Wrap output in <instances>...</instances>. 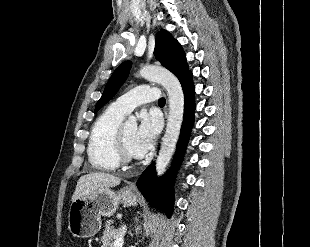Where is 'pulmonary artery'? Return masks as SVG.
I'll list each match as a JSON object with an SVG mask.
<instances>
[{
	"label": "pulmonary artery",
	"instance_id": "pulmonary-artery-1",
	"mask_svg": "<svg viewBox=\"0 0 310 247\" xmlns=\"http://www.w3.org/2000/svg\"><path fill=\"white\" fill-rule=\"evenodd\" d=\"M160 98L158 88L140 85L116 99L112 105L123 114L130 113L135 107Z\"/></svg>",
	"mask_w": 310,
	"mask_h": 247
}]
</instances>
